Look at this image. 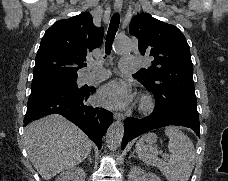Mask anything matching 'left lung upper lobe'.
<instances>
[{
	"label": "left lung upper lobe",
	"instance_id": "left-lung-upper-lobe-1",
	"mask_svg": "<svg viewBox=\"0 0 228 181\" xmlns=\"http://www.w3.org/2000/svg\"><path fill=\"white\" fill-rule=\"evenodd\" d=\"M129 32L138 38L140 53L153 59L133 77L161 108L187 107L198 113L190 48L182 32L147 13L132 19Z\"/></svg>",
	"mask_w": 228,
	"mask_h": 181
}]
</instances>
